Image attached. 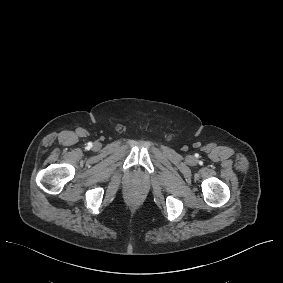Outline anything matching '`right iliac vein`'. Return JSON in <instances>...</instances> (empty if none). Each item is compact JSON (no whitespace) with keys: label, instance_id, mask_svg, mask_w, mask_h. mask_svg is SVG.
<instances>
[{"label":"right iliac vein","instance_id":"obj_1","mask_svg":"<svg viewBox=\"0 0 283 283\" xmlns=\"http://www.w3.org/2000/svg\"><path fill=\"white\" fill-rule=\"evenodd\" d=\"M98 145V143H96L94 146H97Z\"/></svg>","mask_w":283,"mask_h":283}]
</instances>
